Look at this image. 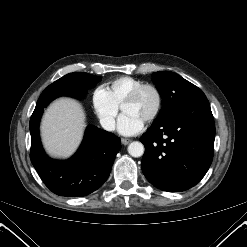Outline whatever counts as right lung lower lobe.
Returning a JSON list of instances; mask_svg holds the SVG:
<instances>
[{
    "mask_svg": "<svg viewBox=\"0 0 247 247\" xmlns=\"http://www.w3.org/2000/svg\"><path fill=\"white\" fill-rule=\"evenodd\" d=\"M86 92H43L30 119L31 162L45 185L60 196H85L98 189L108 178L120 139L112 133L88 126L75 155L66 161L49 158L41 145L39 123L44 108L55 98H81Z\"/></svg>",
    "mask_w": 247,
    "mask_h": 247,
    "instance_id": "98d812e1",
    "label": "right lung lower lobe"
}]
</instances>
